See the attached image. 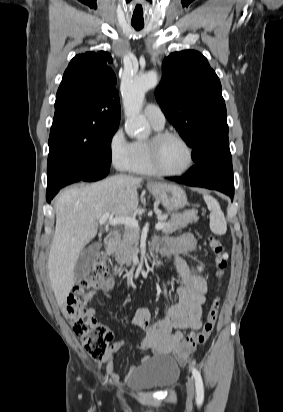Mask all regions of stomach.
<instances>
[{
    "instance_id": "0dacf381",
    "label": "stomach",
    "mask_w": 283,
    "mask_h": 412,
    "mask_svg": "<svg viewBox=\"0 0 283 412\" xmlns=\"http://www.w3.org/2000/svg\"><path fill=\"white\" fill-rule=\"evenodd\" d=\"M149 190L168 211H178L187 204L185 191L177 185L155 184Z\"/></svg>"
}]
</instances>
